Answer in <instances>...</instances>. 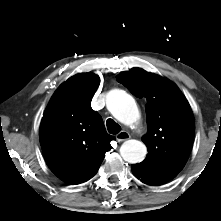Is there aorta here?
Wrapping results in <instances>:
<instances>
[{"label":"aorta","mask_w":221,"mask_h":221,"mask_svg":"<svg viewBox=\"0 0 221 221\" xmlns=\"http://www.w3.org/2000/svg\"><path fill=\"white\" fill-rule=\"evenodd\" d=\"M106 105L111 114L125 125H132L140 118L134 98L123 90H111L107 95ZM120 154L125 161L135 164L145 158L147 148L138 140H127L120 147Z\"/></svg>","instance_id":"obj_1"}]
</instances>
